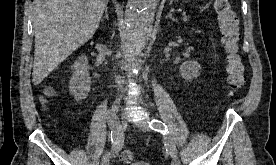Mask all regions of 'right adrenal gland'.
Segmentation results:
<instances>
[{
  "label": "right adrenal gland",
  "mask_w": 276,
  "mask_h": 165,
  "mask_svg": "<svg viewBox=\"0 0 276 165\" xmlns=\"http://www.w3.org/2000/svg\"><path fill=\"white\" fill-rule=\"evenodd\" d=\"M104 12H105V15L101 19L102 22H103L104 19L109 20V17H108V7L105 8Z\"/></svg>",
  "instance_id": "2a0ac1e0"
}]
</instances>
